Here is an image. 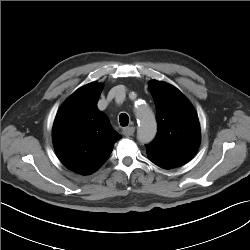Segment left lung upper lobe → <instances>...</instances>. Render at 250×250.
I'll return each mask as SVG.
<instances>
[{
	"mask_svg": "<svg viewBox=\"0 0 250 250\" xmlns=\"http://www.w3.org/2000/svg\"><path fill=\"white\" fill-rule=\"evenodd\" d=\"M156 110L158 132L146 146L147 154L172 160L189 161L200 144L198 116L187 98L174 86L149 83Z\"/></svg>",
	"mask_w": 250,
	"mask_h": 250,
	"instance_id": "left-lung-upper-lobe-1",
	"label": "left lung upper lobe"
}]
</instances>
